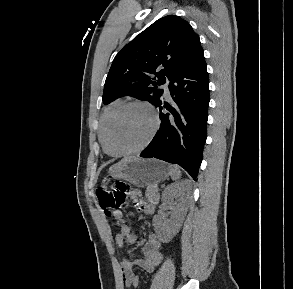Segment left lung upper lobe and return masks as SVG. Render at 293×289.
I'll list each match as a JSON object with an SVG mask.
<instances>
[{
    "label": "left lung upper lobe",
    "mask_w": 293,
    "mask_h": 289,
    "mask_svg": "<svg viewBox=\"0 0 293 289\" xmlns=\"http://www.w3.org/2000/svg\"><path fill=\"white\" fill-rule=\"evenodd\" d=\"M202 51L199 37L187 21L174 15L158 19L114 58L103 103L133 96L156 105L163 94L157 86L173 79Z\"/></svg>",
    "instance_id": "left-lung-upper-lobe-1"
}]
</instances>
